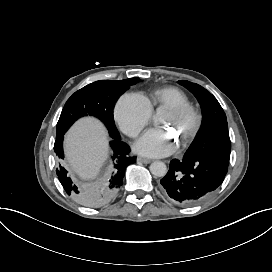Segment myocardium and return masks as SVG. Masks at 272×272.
I'll return each instance as SVG.
<instances>
[{
    "label": "myocardium",
    "instance_id": "f54148a6",
    "mask_svg": "<svg viewBox=\"0 0 272 272\" xmlns=\"http://www.w3.org/2000/svg\"><path fill=\"white\" fill-rule=\"evenodd\" d=\"M168 110L178 115L181 120L183 137L188 139L198 127L199 115L193 108L183 104L170 105Z\"/></svg>",
    "mask_w": 272,
    "mask_h": 272
}]
</instances>
